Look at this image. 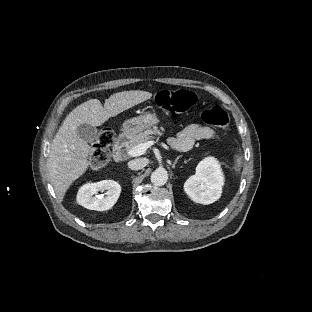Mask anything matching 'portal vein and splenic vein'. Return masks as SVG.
I'll use <instances>...</instances> for the list:
<instances>
[{
  "instance_id": "obj_1",
  "label": "portal vein and splenic vein",
  "mask_w": 312,
  "mask_h": 312,
  "mask_svg": "<svg viewBox=\"0 0 312 312\" xmlns=\"http://www.w3.org/2000/svg\"><path fill=\"white\" fill-rule=\"evenodd\" d=\"M157 144V140H149L147 142H145L144 144L135 146L133 148H131L130 150H128V155L130 157H137L140 155H143L144 152L151 146Z\"/></svg>"
}]
</instances>
